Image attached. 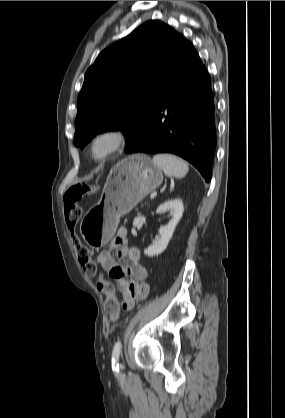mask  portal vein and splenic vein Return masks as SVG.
<instances>
[{
  "instance_id": "1",
  "label": "portal vein and splenic vein",
  "mask_w": 285,
  "mask_h": 418,
  "mask_svg": "<svg viewBox=\"0 0 285 418\" xmlns=\"http://www.w3.org/2000/svg\"><path fill=\"white\" fill-rule=\"evenodd\" d=\"M156 195H157V192L155 191V192L151 193L150 198L153 199Z\"/></svg>"
}]
</instances>
